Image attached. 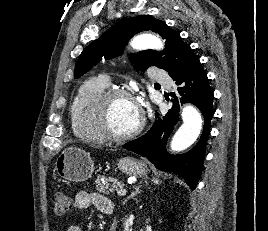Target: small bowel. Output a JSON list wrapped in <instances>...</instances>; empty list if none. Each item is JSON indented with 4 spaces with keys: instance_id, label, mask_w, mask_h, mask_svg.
Here are the masks:
<instances>
[{
    "instance_id": "small-bowel-1",
    "label": "small bowel",
    "mask_w": 268,
    "mask_h": 231,
    "mask_svg": "<svg viewBox=\"0 0 268 231\" xmlns=\"http://www.w3.org/2000/svg\"><path fill=\"white\" fill-rule=\"evenodd\" d=\"M73 205L78 210L95 208L104 214H112L113 202L105 195L97 192L80 191L76 194ZM67 231H82L80 225H71Z\"/></svg>"
}]
</instances>
